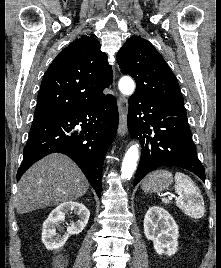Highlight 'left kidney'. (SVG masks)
Listing matches in <instances>:
<instances>
[{
  "label": "left kidney",
  "mask_w": 221,
  "mask_h": 268,
  "mask_svg": "<svg viewBox=\"0 0 221 268\" xmlns=\"http://www.w3.org/2000/svg\"><path fill=\"white\" fill-rule=\"evenodd\" d=\"M144 233L153 241L154 249L159 254L171 256L178 250V225L173 217L163 208L152 206L144 219Z\"/></svg>",
  "instance_id": "5707ae66"
}]
</instances>
